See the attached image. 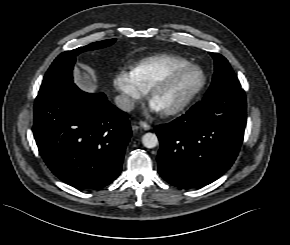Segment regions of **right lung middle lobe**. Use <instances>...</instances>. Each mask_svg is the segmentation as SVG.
<instances>
[{"label": "right lung middle lobe", "mask_w": 290, "mask_h": 245, "mask_svg": "<svg viewBox=\"0 0 290 245\" xmlns=\"http://www.w3.org/2000/svg\"><path fill=\"white\" fill-rule=\"evenodd\" d=\"M114 42L115 39L98 41L84 47L76 48L72 51L61 53L46 72L38 94L42 95L45 93H50L58 90L59 88L72 85V70L75 63V56L85 51L110 46Z\"/></svg>", "instance_id": "dd1d6c3e"}]
</instances>
